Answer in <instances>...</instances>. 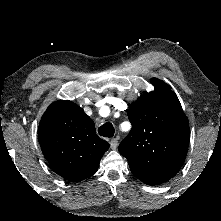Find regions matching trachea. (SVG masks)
<instances>
[{
    "mask_svg": "<svg viewBox=\"0 0 221 221\" xmlns=\"http://www.w3.org/2000/svg\"><path fill=\"white\" fill-rule=\"evenodd\" d=\"M99 135L111 138L114 136V127L111 123H105L98 128Z\"/></svg>",
    "mask_w": 221,
    "mask_h": 221,
    "instance_id": "1",
    "label": "trachea"
}]
</instances>
